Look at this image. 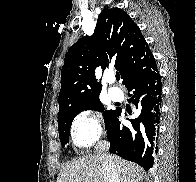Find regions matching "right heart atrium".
Here are the masks:
<instances>
[{
    "label": "right heart atrium",
    "mask_w": 196,
    "mask_h": 182,
    "mask_svg": "<svg viewBox=\"0 0 196 182\" xmlns=\"http://www.w3.org/2000/svg\"><path fill=\"white\" fill-rule=\"evenodd\" d=\"M103 129L96 113L83 111L73 120L71 138L77 146H90L102 135Z\"/></svg>",
    "instance_id": "d8ad5b80"
}]
</instances>
